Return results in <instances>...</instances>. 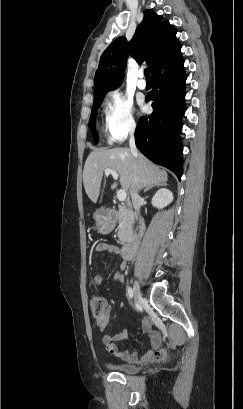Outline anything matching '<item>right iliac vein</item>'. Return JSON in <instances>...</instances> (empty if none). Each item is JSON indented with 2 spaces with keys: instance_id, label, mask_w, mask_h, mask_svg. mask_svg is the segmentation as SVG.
Returning <instances> with one entry per match:
<instances>
[{
  "instance_id": "1",
  "label": "right iliac vein",
  "mask_w": 243,
  "mask_h": 409,
  "mask_svg": "<svg viewBox=\"0 0 243 409\" xmlns=\"http://www.w3.org/2000/svg\"><path fill=\"white\" fill-rule=\"evenodd\" d=\"M134 299H135V302H139V300L141 299V292H140L139 284L137 282L134 283Z\"/></svg>"
}]
</instances>
